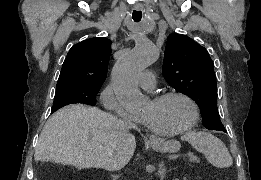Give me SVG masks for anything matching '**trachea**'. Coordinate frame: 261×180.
<instances>
[{
	"label": "trachea",
	"mask_w": 261,
	"mask_h": 180,
	"mask_svg": "<svg viewBox=\"0 0 261 180\" xmlns=\"http://www.w3.org/2000/svg\"><path fill=\"white\" fill-rule=\"evenodd\" d=\"M132 18H133L134 22H140V20L142 18V12L134 10L132 13Z\"/></svg>",
	"instance_id": "1"
}]
</instances>
